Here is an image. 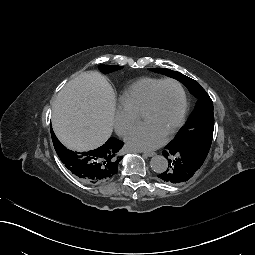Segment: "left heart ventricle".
Masks as SVG:
<instances>
[{"label": "left heart ventricle", "instance_id": "left-heart-ventricle-1", "mask_svg": "<svg viewBox=\"0 0 255 255\" xmlns=\"http://www.w3.org/2000/svg\"><path fill=\"white\" fill-rule=\"evenodd\" d=\"M181 105L179 88L175 84L166 83L158 89L153 106L141 118L142 123L165 139L179 118Z\"/></svg>", "mask_w": 255, "mask_h": 255}]
</instances>
